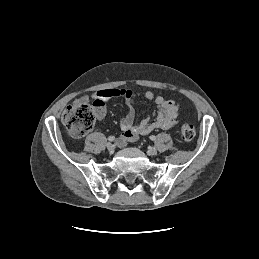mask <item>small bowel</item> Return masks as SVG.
<instances>
[{"label": "small bowel", "instance_id": "1", "mask_svg": "<svg viewBox=\"0 0 259 259\" xmlns=\"http://www.w3.org/2000/svg\"><path fill=\"white\" fill-rule=\"evenodd\" d=\"M122 97L128 106V112L120 120L121 135L118 139L120 147L128 142H135L140 136L147 135L155 129L168 130L175 127L182 111L180 105L172 99H165L152 91L135 92L130 89H102L78 98L75 103L93 102L96 117L102 120L106 115V102L112 98ZM143 97L157 106V112L151 117L135 124L136 99Z\"/></svg>", "mask_w": 259, "mask_h": 259}]
</instances>
